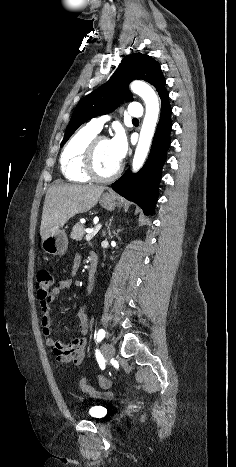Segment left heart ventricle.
Returning a JSON list of instances; mask_svg holds the SVG:
<instances>
[{"label":"left heart ventricle","instance_id":"left-heart-ventricle-1","mask_svg":"<svg viewBox=\"0 0 236 467\" xmlns=\"http://www.w3.org/2000/svg\"><path fill=\"white\" fill-rule=\"evenodd\" d=\"M119 162L115 159L108 140H102L96 151L95 166L101 175L111 174Z\"/></svg>","mask_w":236,"mask_h":467}]
</instances>
